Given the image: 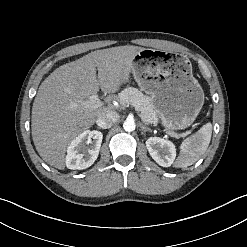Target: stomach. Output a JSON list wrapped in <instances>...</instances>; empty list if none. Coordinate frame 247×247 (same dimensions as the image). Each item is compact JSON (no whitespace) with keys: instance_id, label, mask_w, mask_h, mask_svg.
<instances>
[{"instance_id":"stomach-1","label":"stomach","mask_w":247,"mask_h":247,"mask_svg":"<svg viewBox=\"0 0 247 247\" xmlns=\"http://www.w3.org/2000/svg\"><path fill=\"white\" fill-rule=\"evenodd\" d=\"M130 75L150 96L165 129L182 130L193 124L204 104V93L187 58L162 50L144 49L126 68L123 82L128 81Z\"/></svg>"}]
</instances>
